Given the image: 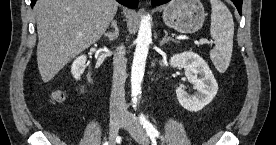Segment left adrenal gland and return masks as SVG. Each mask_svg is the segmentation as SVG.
I'll return each mask as SVG.
<instances>
[{
  "label": "left adrenal gland",
  "mask_w": 276,
  "mask_h": 145,
  "mask_svg": "<svg viewBox=\"0 0 276 145\" xmlns=\"http://www.w3.org/2000/svg\"><path fill=\"white\" fill-rule=\"evenodd\" d=\"M164 33H165V36L162 39V41L160 42V46L166 44L168 41L178 42L177 40H175L171 37H168V32L166 30H164Z\"/></svg>",
  "instance_id": "1"
}]
</instances>
